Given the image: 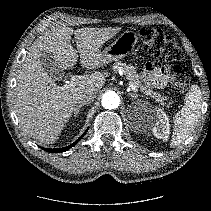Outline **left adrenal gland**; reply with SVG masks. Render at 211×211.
Instances as JSON below:
<instances>
[{
	"label": "left adrenal gland",
	"mask_w": 211,
	"mask_h": 211,
	"mask_svg": "<svg viewBox=\"0 0 211 211\" xmlns=\"http://www.w3.org/2000/svg\"><path fill=\"white\" fill-rule=\"evenodd\" d=\"M128 95L131 97L132 100L138 97V94H134V93H128Z\"/></svg>",
	"instance_id": "a2214340"
}]
</instances>
